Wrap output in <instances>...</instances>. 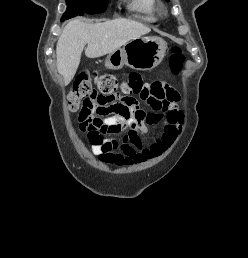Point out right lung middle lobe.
I'll return each instance as SVG.
<instances>
[{"label": "right lung middle lobe", "mask_w": 248, "mask_h": 258, "mask_svg": "<svg viewBox=\"0 0 248 258\" xmlns=\"http://www.w3.org/2000/svg\"><path fill=\"white\" fill-rule=\"evenodd\" d=\"M67 10L61 21L83 15L84 13L96 14L106 10L108 0H66Z\"/></svg>", "instance_id": "dd1d6c3e"}]
</instances>
